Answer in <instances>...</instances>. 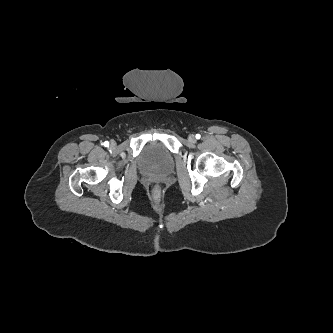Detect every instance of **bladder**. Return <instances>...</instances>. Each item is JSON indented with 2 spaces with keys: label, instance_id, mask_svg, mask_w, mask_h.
<instances>
[{
  "label": "bladder",
  "instance_id": "31cf9c89",
  "mask_svg": "<svg viewBox=\"0 0 333 333\" xmlns=\"http://www.w3.org/2000/svg\"><path fill=\"white\" fill-rule=\"evenodd\" d=\"M138 164L145 173L167 175L173 170L174 160L172 153L162 142H151L142 149Z\"/></svg>",
  "mask_w": 333,
  "mask_h": 333
}]
</instances>
